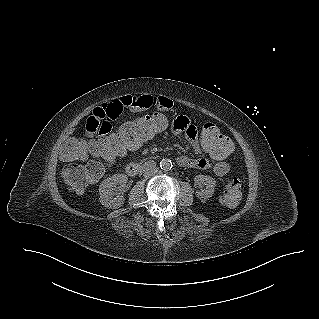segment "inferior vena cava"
<instances>
[{
  "instance_id": "obj_1",
  "label": "inferior vena cava",
  "mask_w": 319,
  "mask_h": 319,
  "mask_svg": "<svg viewBox=\"0 0 319 319\" xmlns=\"http://www.w3.org/2000/svg\"><path fill=\"white\" fill-rule=\"evenodd\" d=\"M158 172V168L157 167H151L149 169H147L144 173L145 177H150L155 175Z\"/></svg>"
}]
</instances>
